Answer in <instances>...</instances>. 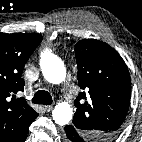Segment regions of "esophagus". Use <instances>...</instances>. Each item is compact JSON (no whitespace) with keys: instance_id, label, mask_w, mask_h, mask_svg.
Here are the masks:
<instances>
[{"instance_id":"esophagus-1","label":"esophagus","mask_w":142,"mask_h":142,"mask_svg":"<svg viewBox=\"0 0 142 142\" xmlns=\"http://www.w3.org/2000/svg\"><path fill=\"white\" fill-rule=\"evenodd\" d=\"M45 112H50L53 109L52 105L43 106Z\"/></svg>"}]
</instances>
